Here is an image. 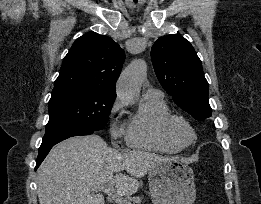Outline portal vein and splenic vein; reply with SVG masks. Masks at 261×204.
Returning <instances> with one entry per match:
<instances>
[{
    "label": "portal vein and splenic vein",
    "instance_id": "obj_1",
    "mask_svg": "<svg viewBox=\"0 0 261 204\" xmlns=\"http://www.w3.org/2000/svg\"><path fill=\"white\" fill-rule=\"evenodd\" d=\"M95 190L104 191L107 195H109L117 204H131L130 201L121 197L120 194L116 193L113 186L110 183L98 185L94 188Z\"/></svg>",
    "mask_w": 261,
    "mask_h": 204
}]
</instances>
